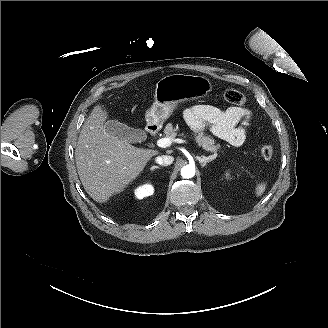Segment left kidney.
Returning <instances> with one entry per match:
<instances>
[{"instance_id": "5707ae66", "label": "left kidney", "mask_w": 328, "mask_h": 328, "mask_svg": "<svg viewBox=\"0 0 328 328\" xmlns=\"http://www.w3.org/2000/svg\"><path fill=\"white\" fill-rule=\"evenodd\" d=\"M226 176L228 177L229 176V173H226Z\"/></svg>"}]
</instances>
